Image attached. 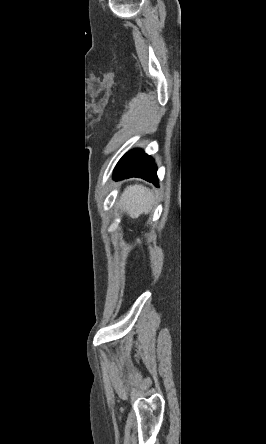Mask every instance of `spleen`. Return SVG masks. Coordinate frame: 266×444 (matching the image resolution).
<instances>
[{
	"mask_svg": "<svg viewBox=\"0 0 266 444\" xmlns=\"http://www.w3.org/2000/svg\"><path fill=\"white\" fill-rule=\"evenodd\" d=\"M154 194L142 185L128 186L121 196V206L131 218H137L140 214H148L155 204Z\"/></svg>",
	"mask_w": 266,
	"mask_h": 444,
	"instance_id": "1",
	"label": "spleen"
}]
</instances>
